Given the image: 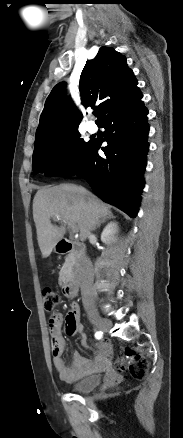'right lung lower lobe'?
I'll return each mask as SVG.
<instances>
[{
  "instance_id": "right-lung-lower-lobe-1",
  "label": "right lung lower lobe",
  "mask_w": 183,
  "mask_h": 438,
  "mask_svg": "<svg viewBox=\"0 0 183 438\" xmlns=\"http://www.w3.org/2000/svg\"><path fill=\"white\" fill-rule=\"evenodd\" d=\"M142 94L108 113L99 125L105 128L108 145L98 155L100 144L91 141L78 157L57 176L84 178L103 201L117 206L130 217L138 212L143 173L149 148L148 114Z\"/></svg>"
}]
</instances>
